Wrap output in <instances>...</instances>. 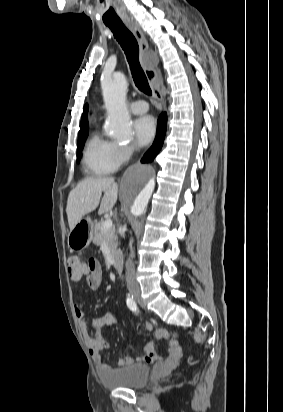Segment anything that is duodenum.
<instances>
[{
    "instance_id": "obj_1",
    "label": "duodenum",
    "mask_w": 283,
    "mask_h": 412,
    "mask_svg": "<svg viewBox=\"0 0 283 412\" xmlns=\"http://www.w3.org/2000/svg\"><path fill=\"white\" fill-rule=\"evenodd\" d=\"M113 267L118 274H121L123 271V259L120 254H117L113 257Z\"/></svg>"
}]
</instances>
